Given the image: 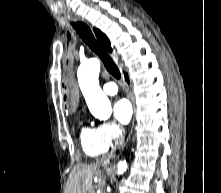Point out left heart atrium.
<instances>
[{
	"label": "left heart atrium",
	"instance_id": "1",
	"mask_svg": "<svg viewBox=\"0 0 221 193\" xmlns=\"http://www.w3.org/2000/svg\"><path fill=\"white\" fill-rule=\"evenodd\" d=\"M113 111L117 120L122 124H127L133 113L132 105L126 98L118 99L114 104Z\"/></svg>",
	"mask_w": 221,
	"mask_h": 193
}]
</instances>
